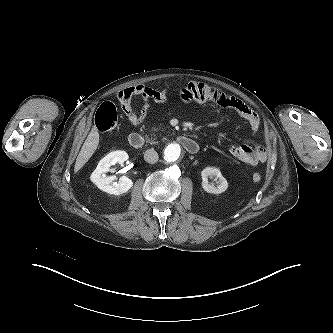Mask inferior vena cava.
<instances>
[{"label":"inferior vena cava","mask_w":333,"mask_h":333,"mask_svg":"<svg viewBox=\"0 0 333 333\" xmlns=\"http://www.w3.org/2000/svg\"><path fill=\"white\" fill-rule=\"evenodd\" d=\"M144 160L150 164H154L158 161V153L153 148L148 149L144 153Z\"/></svg>","instance_id":"602c4592"}]
</instances>
